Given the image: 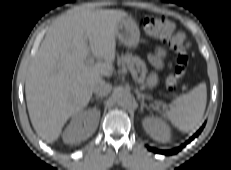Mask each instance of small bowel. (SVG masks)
<instances>
[{
    "label": "small bowel",
    "instance_id": "1",
    "mask_svg": "<svg viewBox=\"0 0 231 170\" xmlns=\"http://www.w3.org/2000/svg\"><path fill=\"white\" fill-rule=\"evenodd\" d=\"M165 55V50L163 48H159L157 52L152 56V62L157 68L162 67L163 58Z\"/></svg>",
    "mask_w": 231,
    "mask_h": 170
}]
</instances>
